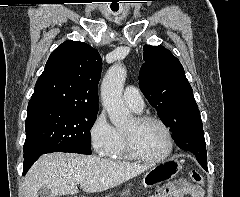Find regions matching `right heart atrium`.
I'll return each mask as SVG.
<instances>
[{"label":"right heart atrium","instance_id":"1","mask_svg":"<svg viewBox=\"0 0 240 197\" xmlns=\"http://www.w3.org/2000/svg\"><path fill=\"white\" fill-rule=\"evenodd\" d=\"M88 135L92 149L97 155L109 156L112 153L117 141V132L104 111H100L95 116Z\"/></svg>","mask_w":240,"mask_h":197}]
</instances>
